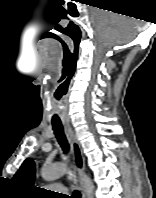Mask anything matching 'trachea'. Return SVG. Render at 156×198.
<instances>
[{"label": "trachea", "instance_id": "1", "mask_svg": "<svg viewBox=\"0 0 156 198\" xmlns=\"http://www.w3.org/2000/svg\"><path fill=\"white\" fill-rule=\"evenodd\" d=\"M53 130L55 133V136L64 151V153H67L69 151V144L67 142L66 136L64 134L63 126L60 122L53 121L52 122ZM71 198H81V194L79 191H74L73 196Z\"/></svg>", "mask_w": 156, "mask_h": 198}]
</instances>
